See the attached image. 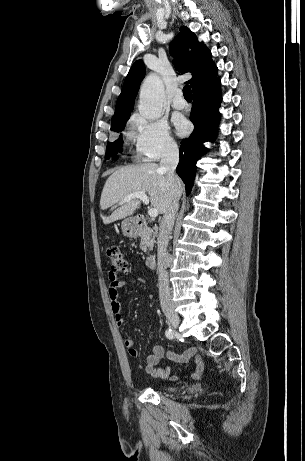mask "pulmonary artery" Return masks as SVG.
I'll return each instance as SVG.
<instances>
[{"label":"pulmonary artery","instance_id":"obj_1","mask_svg":"<svg viewBox=\"0 0 305 461\" xmlns=\"http://www.w3.org/2000/svg\"><path fill=\"white\" fill-rule=\"evenodd\" d=\"M172 107L176 110H182L186 107V101L182 97V92L177 91L171 103Z\"/></svg>","mask_w":305,"mask_h":461}]
</instances>
